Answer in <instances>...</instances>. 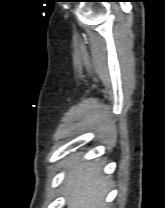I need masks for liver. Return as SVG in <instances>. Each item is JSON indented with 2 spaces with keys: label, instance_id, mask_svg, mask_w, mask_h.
Returning <instances> with one entry per match:
<instances>
[{
  "label": "liver",
  "instance_id": "1",
  "mask_svg": "<svg viewBox=\"0 0 165 208\" xmlns=\"http://www.w3.org/2000/svg\"><path fill=\"white\" fill-rule=\"evenodd\" d=\"M79 156L70 158L65 178L67 208H108L104 204L111 181L102 174L97 162L78 163Z\"/></svg>",
  "mask_w": 165,
  "mask_h": 208
}]
</instances>
